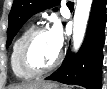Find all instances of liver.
Instances as JSON below:
<instances>
[{
	"instance_id": "obj_1",
	"label": "liver",
	"mask_w": 107,
	"mask_h": 89,
	"mask_svg": "<svg viewBox=\"0 0 107 89\" xmlns=\"http://www.w3.org/2000/svg\"><path fill=\"white\" fill-rule=\"evenodd\" d=\"M42 85H46V84L41 82H29V83H23L21 85L11 86L10 89H40Z\"/></svg>"
}]
</instances>
